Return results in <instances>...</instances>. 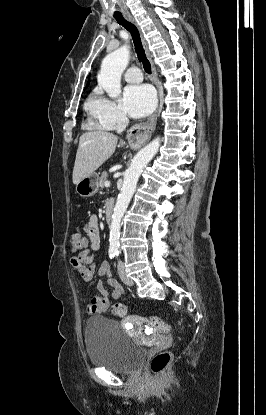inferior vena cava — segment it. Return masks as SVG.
Masks as SVG:
<instances>
[{
  "instance_id": "obj_1",
  "label": "inferior vena cava",
  "mask_w": 266,
  "mask_h": 415,
  "mask_svg": "<svg viewBox=\"0 0 266 415\" xmlns=\"http://www.w3.org/2000/svg\"><path fill=\"white\" fill-rule=\"evenodd\" d=\"M128 125V119L122 118L117 125V133H121Z\"/></svg>"
}]
</instances>
